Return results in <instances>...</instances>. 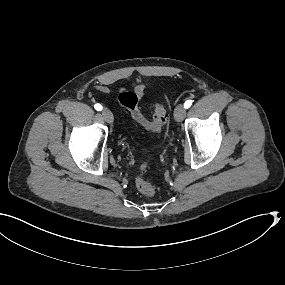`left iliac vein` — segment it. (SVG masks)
<instances>
[{"instance_id":"left-iliac-vein-1","label":"left iliac vein","mask_w":285,"mask_h":285,"mask_svg":"<svg viewBox=\"0 0 285 285\" xmlns=\"http://www.w3.org/2000/svg\"><path fill=\"white\" fill-rule=\"evenodd\" d=\"M186 115V109L183 104H178L174 111L175 120L181 122L184 120Z\"/></svg>"}]
</instances>
